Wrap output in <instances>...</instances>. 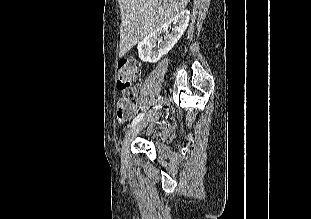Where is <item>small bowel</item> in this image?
Returning <instances> with one entry per match:
<instances>
[{"instance_id": "obj_1", "label": "small bowel", "mask_w": 311, "mask_h": 219, "mask_svg": "<svg viewBox=\"0 0 311 219\" xmlns=\"http://www.w3.org/2000/svg\"><path fill=\"white\" fill-rule=\"evenodd\" d=\"M137 111H138V107L136 105H132L129 108L128 113L127 114H123L122 113V109H121V100H119L118 108H117V117H118L119 122L124 123V122L128 121L129 119L132 118V116L134 114L137 113Z\"/></svg>"}]
</instances>
